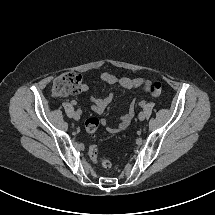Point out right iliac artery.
Listing matches in <instances>:
<instances>
[{
	"instance_id": "obj_1",
	"label": "right iliac artery",
	"mask_w": 215,
	"mask_h": 215,
	"mask_svg": "<svg viewBox=\"0 0 215 215\" xmlns=\"http://www.w3.org/2000/svg\"><path fill=\"white\" fill-rule=\"evenodd\" d=\"M72 104H73V105H76V102H75V101H73V102H72Z\"/></svg>"
}]
</instances>
